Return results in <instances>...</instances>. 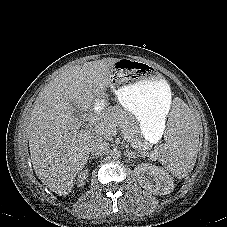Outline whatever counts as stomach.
I'll use <instances>...</instances> for the list:
<instances>
[{
  "instance_id": "obj_1",
  "label": "stomach",
  "mask_w": 227,
  "mask_h": 227,
  "mask_svg": "<svg viewBox=\"0 0 227 227\" xmlns=\"http://www.w3.org/2000/svg\"><path fill=\"white\" fill-rule=\"evenodd\" d=\"M110 88L120 105L136 117L145 140L156 142L171 104L170 87L163 76L150 66L124 59L112 67Z\"/></svg>"
}]
</instances>
